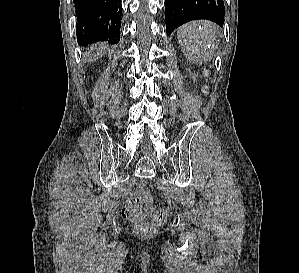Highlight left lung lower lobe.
I'll use <instances>...</instances> for the list:
<instances>
[{
	"instance_id": "obj_1",
	"label": "left lung lower lobe",
	"mask_w": 299,
	"mask_h": 273,
	"mask_svg": "<svg viewBox=\"0 0 299 273\" xmlns=\"http://www.w3.org/2000/svg\"><path fill=\"white\" fill-rule=\"evenodd\" d=\"M223 0H166V31L170 35L175 28L192 20L206 19L224 24Z\"/></svg>"
}]
</instances>
